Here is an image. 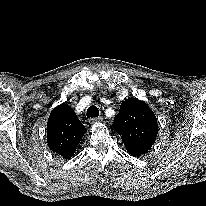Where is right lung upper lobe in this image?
I'll use <instances>...</instances> for the list:
<instances>
[{"instance_id": "obj_1", "label": "right lung upper lobe", "mask_w": 206, "mask_h": 206, "mask_svg": "<svg viewBox=\"0 0 206 206\" xmlns=\"http://www.w3.org/2000/svg\"><path fill=\"white\" fill-rule=\"evenodd\" d=\"M86 131L73 109L63 103L50 113L47 122L48 146L53 152L69 159Z\"/></svg>"}]
</instances>
